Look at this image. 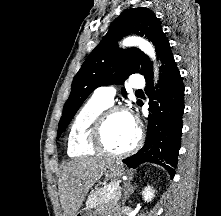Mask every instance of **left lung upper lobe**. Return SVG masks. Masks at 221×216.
I'll return each mask as SVG.
<instances>
[{
    "label": "left lung upper lobe",
    "instance_id": "obj_1",
    "mask_svg": "<svg viewBox=\"0 0 221 216\" xmlns=\"http://www.w3.org/2000/svg\"><path fill=\"white\" fill-rule=\"evenodd\" d=\"M131 33L152 41L157 56L161 46L168 42L160 20L150 9L139 7L124 11L74 77L71 94L59 121L57 139L93 90L103 85L122 84L133 73L146 74L152 63L141 50L135 47L126 50L117 48L118 40ZM122 93L126 94L124 88Z\"/></svg>",
    "mask_w": 221,
    "mask_h": 216
}]
</instances>
